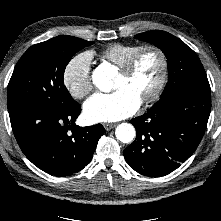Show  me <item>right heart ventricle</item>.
Returning a JSON list of instances; mask_svg holds the SVG:
<instances>
[{
  "label": "right heart ventricle",
  "instance_id": "right-heart-ventricle-1",
  "mask_svg": "<svg viewBox=\"0 0 221 221\" xmlns=\"http://www.w3.org/2000/svg\"><path fill=\"white\" fill-rule=\"evenodd\" d=\"M140 47L142 46L136 44L114 43L104 48L100 56L102 59L120 67Z\"/></svg>",
  "mask_w": 221,
  "mask_h": 221
}]
</instances>
